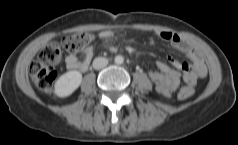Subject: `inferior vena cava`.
<instances>
[{
    "label": "inferior vena cava",
    "mask_w": 238,
    "mask_h": 145,
    "mask_svg": "<svg viewBox=\"0 0 238 145\" xmlns=\"http://www.w3.org/2000/svg\"><path fill=\"white\" fill-rule=\"evenodd\" d=\"M108 64V59L104 58V57H97L94 59L93 61V68L96 70L102 69L104 67H106Z\"/></svg>",
    "instance_id": "obj_1"
}]
</instances>
